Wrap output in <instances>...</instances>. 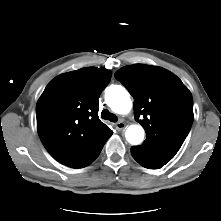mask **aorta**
Masks as SVG:
<instances>
[{
	"instance_id": "1",
	"label": "aorta",
	"mask_w": 221,
	"mask_h": 221,
	"mask_svg": "<svg viewBox=\"0 0 221 221\" xmlns=\"http://www.w3.org/2000/svg\"><path fill=\"white\" fill-rule=\"evenodd\" d=\"M105 100L112 111L126 114L132 108L128 91L121 85H112L106 89ZM144 129L140 125H130L125 133L126 140L132 145L140 144L144 139Z\"/></svg>"
}]
</instances>
